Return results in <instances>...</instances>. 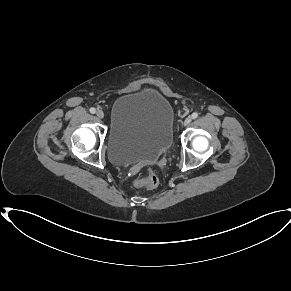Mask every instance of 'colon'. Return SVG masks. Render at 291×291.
<instances>
[{"mask_svg": "<svg viewBox=\"0 0 291 291\" xmlns=\"http://www.w3.org/2000/svg\"><path fill=\"white\" fill-rule=\"evenodd\" d=\"M158 184V177L153 171H148L146 175L141 179H136L133 182L135 187L153 188Z\"/></svg>", "mask_w": 291, "mask_h": 291, "instance_id": "1", "label": "colon"}]
</instances>
